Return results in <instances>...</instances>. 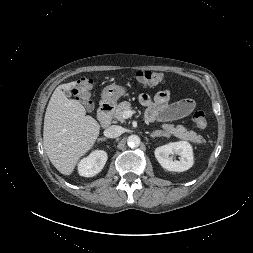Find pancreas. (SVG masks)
<instances>
[{
	"mask_svg": "<svg viewBox=\"0 0 253 253\" xmlns=\"http://www.w3.org/2000/svg\"><path fill=\"white\" fill-rule=\"evenodd\" d=\"M131 109L132 107L130 102H121L114 112V118H116L120 122H124V118L122 116L123 112ZM161 127L164 129L165 133L168 136L174 135L179 139L191 141L196 144L201 143L202 141L201 136L197 135V133L194 131H189L183 125L174 126L173 124H163Z\"/></svg>",
	"mask_w": 253,
	"mask_h": 253,
	"instance_id": "cf45deb5",
	"label": "pancreas"
}]
</instances>
